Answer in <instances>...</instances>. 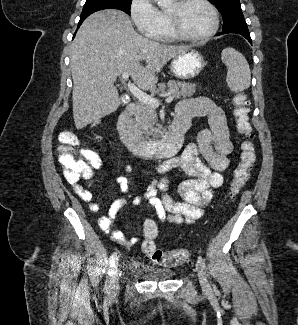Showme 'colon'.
<instances>
[{"instance_id":"obj_1","label":"colon","mask_w":298,"mask_h":325,"mask_svg":"<svg viewBox=\"0 0 298 325\" xmlns=\"http://www.w3.org/2000/svg\"><path fill=\"white\" fill-rule=\"evenodd\" d=\"M233 104L236 127L244 141L241 144L239 163L234 169L230 183L231 197L236 196L248 182L256 162L248 100L243 95H237L233 99ZM60 144L58 157L62 165L63 176L71 185H76L81 180L90 178L101 166V161L96 153L90 150L78 149L79 141L75 135L68 132L62 133L60 135ZM143 232L144 238L141 249L155 263L174 267L187 261L188 252L184 249L166 251L156 246L155 239L158 235V226L155 221L146 220Z\"/></svg>"}]
</instances>
